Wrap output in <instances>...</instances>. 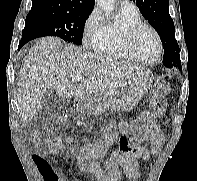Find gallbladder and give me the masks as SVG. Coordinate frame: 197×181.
<instances>
[{"mask_svg": "<svg viewBox=\"0 0 197 181\" xmlns=\"http://www.w3.org/2000/svg\"><path fill=\"white\" fill-rule=\"evenodd\" d=\"M59 97L57 94L54 93V91L52 89H48L45 91L44 93V97H43V109L44 111L46 110H50V108L52 107V102L53 100H56V98Z\"/></svg>", "mask_w": 197, "mask_h": 181, "instance_id": "gallbladder-1", "label": "gallbladder"}]
</instances>
